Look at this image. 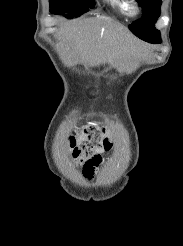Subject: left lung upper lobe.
Instances as JSON below:
<instances>
[{
	"label": "left lung upper lobe",
	"instance_id": "left-lung-upper-lobe-1",
	"mask_svg": "<svg viewBox=\"0 0 183 246\" xmlns=\"http://www.w3.org/2000/svg\"><path fill=\"white\" fill-rule=\"evenodd\" d=\"M142 7V18L133 22L129 29L140 39L150 42L160 39V32L155 28V23L160 16L161 0H136Z\"/></svg>",
	"mask_w": 183,
	"mask_h": 246
}]
</instances>
